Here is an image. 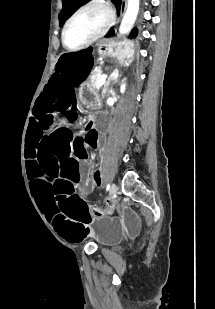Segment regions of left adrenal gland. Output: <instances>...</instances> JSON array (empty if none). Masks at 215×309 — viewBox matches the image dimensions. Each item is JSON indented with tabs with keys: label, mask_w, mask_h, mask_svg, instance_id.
<instances>
[{
	"label": "left adrenal gland",
	"mask_w": 215,
	"mask_h": 309,
	"mask_svg": "<svg viewBox=\"0 0 215 309\" xmlns=\"http://www.w3.org/2000/svg\"><path fill=\"white\" fill-rule=\"evenodd\" d=\"M118 76H119V70H118V68H114L111 76H109V78H108V82H112V80H113V82H117Z\"/></svg>",
	"instance_id": "1"
}]
</instances>
